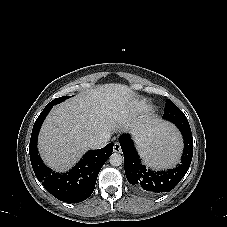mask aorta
Listing matches in <instances>:
<instances>
[{
	"label": "aorta",
	"mask_w": 227,
	"mask_h": 227,
	"mask_svg": "<svg viewBox=\"0 0 227 227\" xmlns=\"http://www.w3.org/2000/svg\"><path fill=\"white\" fill-rule=\"evenodd\" d=\"M123 156L119 153H113L110 157H109V162L112 166L117 167L122 165L123 163Z\"/></svg>",
	"instance_id": "762f6f07"
}]
</instances>
